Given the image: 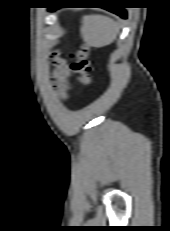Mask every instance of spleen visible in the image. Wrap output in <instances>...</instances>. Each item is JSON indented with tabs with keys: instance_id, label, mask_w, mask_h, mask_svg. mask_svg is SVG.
I'll return each instance as SVG.
<instances>
[{
	"instance_id": "1",
	"label": "spleen",
	"mask_w": 170,
	"mask_h": 231,
	"mask_svg": "<svg viewBox=\"0 0 170 231\" xmlns=\"http://www.w3.org/2000/svg\"><path fill=\"white\" fill-rule=\"evenodd\" d=\"M119 33V24L103 15H89L83 19L81 35L92 47L100 48L112 43Z\"/></svg>"
}]
</instances>
